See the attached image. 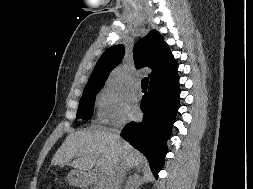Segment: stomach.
<instances>
[{
  "mask_svg": "<svg viewBox=\"0 0 253 189\" xmlns=\"http://www.w3.org/2000/svg\"><path fill=\"white\" fill-rule=\"evenodd\" d=\"M67 180L71 185L82 186L90 180V175L85 171L72 170L68 173Z\"/></svg>",
  "mask_w": 253,
  "mask_h": 189,
  "instance_id": "obj_1",
  "label": "stomach"
}]
</instances>
